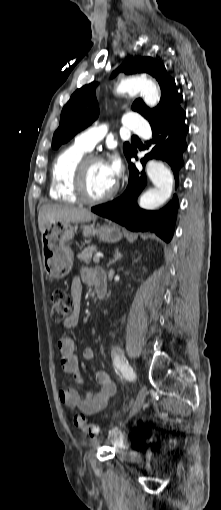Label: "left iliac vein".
Listing matches in <instances>:
<instances>
[{
    "instance_id": "obj_1",
    "label": "left iliac vein",
    "mask_w": 221,
    "mask_h": 510,
    "mask_svg": "<svg viewBox=\"0 0 221 510\" xmlns=\"http://www.w3.org/2000/svg\"><path fill=\"white\" fill-rule=\"evenodd\" d=\"M145 398H146V388H145V386H142L138 392L136 401L130 411V414H129L130 416H133L139 412V410L141 409V407L144 404Z\"/></svg>"
}]
</instances>
